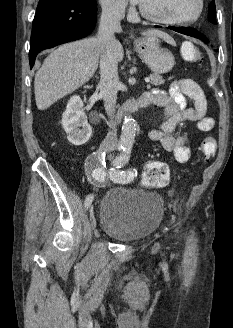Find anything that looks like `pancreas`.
Returning a JSON list of instances; mask_svg holds the SVG:
<instances>
[{
	"label": "pancreas",
	"instance_id": "cf45deb5",
	"mask_svg": "<svg viewBox=\"0 0 233 328\" xmlns=\"http://www.w3.org/2000/svg\"><path fill=\"white\" fill-rule=\"evenodd\" d=\"M149 78L151 80V84L155 86H159L165 82L162 76L157 73L150 74Z\"/></svg>",
	"mask_w": 233,
	"mask_h": 328
}]
</instances>
